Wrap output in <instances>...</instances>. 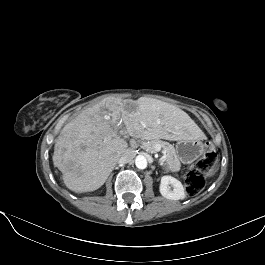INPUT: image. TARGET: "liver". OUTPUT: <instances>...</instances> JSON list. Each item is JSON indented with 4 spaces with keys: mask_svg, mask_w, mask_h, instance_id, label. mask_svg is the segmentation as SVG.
Listing matches in <instances>:
<instances>
[{
    "mask_svg": "<svg viewBox=\"0 0 265 265\" xmlns=\"http://www.w3.org/2000/svg\"><path fill=\"white\" fill-rule=\"evenodd\" d=\"M120 119L127 129L138 126L145 138L178 141L202 136L190 116L169 103L139 98L131 112L127 100L105 98L67 123L55 141L53 163L62 172L69 190L91 192L105 183L128 147L115 134Z\"/></svg>",
    "mask_w": 265,
    "mask_h": 265,
    "instance_id": "6515ba94",
    "label": "liver"
}]
</instances>
